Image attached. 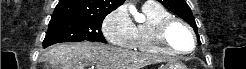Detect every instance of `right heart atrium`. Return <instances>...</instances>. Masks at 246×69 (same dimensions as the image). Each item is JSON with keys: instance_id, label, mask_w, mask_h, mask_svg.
Returning a JSON list of instances; mask_svg holds the SVG:
<instances>
[{"instance_id": "right-heart-atrium-1", "label": "right heart atrium", "mask_w": 246, "mask_h": 69, "mask_svg": "<svg viewBox=\"0 0 246 69\" xmlns=\"http://www.w3.org/2000/svg\"><path fill=\"white\" fill-rule=\"evenodd\" d=\"M102 31L112 45L127 48L133 45L134 23L124 7L114 9L105 17Z\"/></svg>"}]
</instances>
